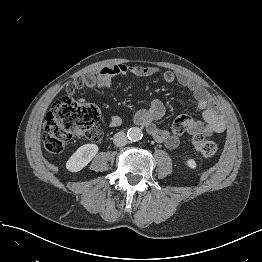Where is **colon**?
<instances>
[{
  "instance_id": "obj_1",
  "label": "colon",
  "mask_w": 262,
  "mask_h": 262,
  "mask_svg": "<svg viewBox=\"0 0 262 262\" xmlns=\"http://www.w3.org/2000/svg\"><path fill=\"white\" fill-rule=\"evenodd\" d=\"M91 80V75L79 76L66 86V95L58 99L46 115L43 124L42 140L50 154L64 150L74 138L99 139L101 133L96 124L100 112L92 103L76 99L74 94ZM191 144L204 157H212L218 152L217 144L198 133L193 135Z\"/></svg>"
}]
</instances>
